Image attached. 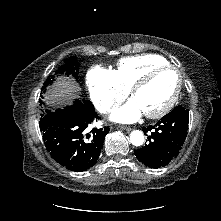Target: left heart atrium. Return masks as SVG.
<instances>
[{
	"label": "left heart atrium",
	"instance_id": "1",
	"mask_svg": "<svg viewBox=\"0 0 221 221\" xmlns=\"http://www.w3.org/2000/svg\"><path fill=\"white\" fill-rule=\"evenodd\" d=\"M142 113L143 111L137 101L131 99L123 107L116 109L111 118L116 122L131 123L136 121Z\"/></svg>",
	"mask_w": 221,
	"mask_h": 221
}]
</instances>
